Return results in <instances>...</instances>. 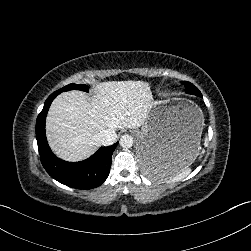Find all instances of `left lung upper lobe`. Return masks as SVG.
<instances>
[{
  "mask_svg": "<svg viewBox=\"0 0 251 251\" xmlns=\"http://www.w3.org/2000/svg\"><path fill=\"white\" fill-rule=\"evenodd\" d=\"M181 83L185 86V92L187 94H192V95L202 97L201 92L198 90L196 86H194L193 84L187 81H182Z\"/></svg>",
  "mask_w": 251,
  "mask_h": 251,
  "instance_id": "obj_1",
  "label": "left lung upper lobe"
}]
</instances>
